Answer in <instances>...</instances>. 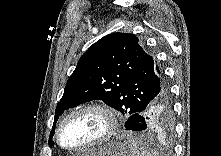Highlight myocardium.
Masks as SVG:
<instances>
[{
  "label": "myocardium",
  "mask_w": 221,
  "mask_h": 156,
  "mask_svg": "<svg viewBox=\"0 0 221 156\" xmlns=\"http://www.w3.org/2000/svg\"><path fill=\"white\" fill-rule=\"evenodd\" d=\"M88 111L97 112L104 117L106 121V127H105L104 132L99 138H97L96 140H94L93 142L87 145L80 146V147H66L62 143V140H61V133H62V129L64 125L69 119H71L75 115L83 113V112H88ZM118 124H119V120H118L117 113L112 107H110L109 105L105 103H100V102L88 103V104L82 105L74 109L62 119L57 129L56 139H57L59 146L62 149L66 151H70V152H79V151L87 150L90 148H94L96 146H99L107 142L115 134L118 128Z\"/></svg>",
  "instance_id": "myocardium-1"
}]
</instances>
